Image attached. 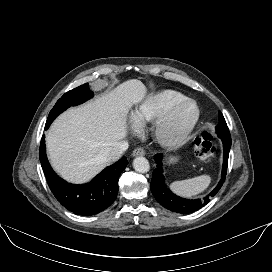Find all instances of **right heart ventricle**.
Masks as SVG:
<instances>
[{"label":"right heart ventricle","instance_id":"1","mask_svg":"<svg viewBox=\"0 0 272 272\" xmlns=\"http://www.w3.org/2000/svg\"><path fill=\"white\" fill-rule=\"evenodd\" d=\"M186 98L175 90H162L148 95L133 111L132 122L137 128H143L155 122L174 102Z\"/></svg>","mask_w":272,"mask_h":272}]
</instances>
